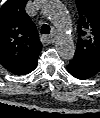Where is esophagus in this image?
<instances>
[{
    "instance_id": "obj_1",
    "label": "esophagus",
    "mask_w": 100,
    "mask_h": 118,
    "mask_svg": "<svg viewBox=\"0 0 100 118\" xmlns=\"http://www.w3.org/2000/svg\"><path fill=\"white\" fill-rule=\"evenodd\" d=\"M57 35L55 33L51 34V35H45L42 37V40L45 42V43H53L56 39Z\"/></svg>"
}]
</instances>
